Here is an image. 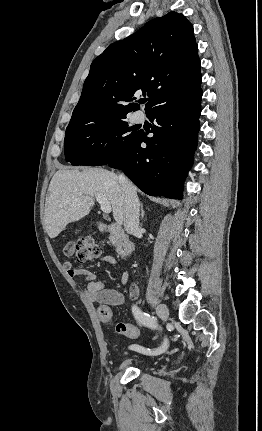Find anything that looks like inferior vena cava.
<instances>
[{
	"label": "inferior vena cava",
	"mask_w": 262,
	"mask_h": 431,
	"mask_svg": "<svg viewBox=\"0 0 262 431\" xmlns=\"http://www.w3.org/2000/svg\"><path fill=\"white\" fill-rule=\"evenodd\" d=\"M118 178L125 193L123 210L124 228L127 233H133L139 228V199L133 190L132 184L126 177L121 174Z\"/></svg>",
	"instance_id": "1"
}]
</instances>
